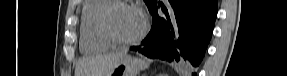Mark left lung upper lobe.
Listing matches in <instances>:
<instances>
[{
    "label": "left lung upper lobe",
    "mask_w": 287,
    "mask_h": 76,
    "mask_svg": "<svg viewBox=\"0 0 287 76\" xmlns=\"http://www.w3.org/2000/svg\"><path fill=\"white\" fill-rule=\"evenodd\" d=\"M144 2L150 10L157 3V0H144Z\"/></svg>",
    "instance_id": "left-lung-upper-lobe-1"
}]
</instances>
